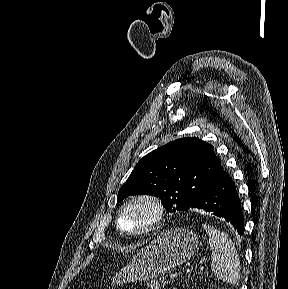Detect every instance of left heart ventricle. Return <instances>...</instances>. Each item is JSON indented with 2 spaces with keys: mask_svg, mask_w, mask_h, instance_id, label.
Listing matches in <instances>:
<instances>
[{
  "mask_svg": "<svg viewBox=\"0 0 288 289\" xmlns=\"http://www.w3.org/2000/svg\"><path fill=\"white\" fill-rule=\"evenodd\" d=\"M151 210L144 204H135L127 208L121 216L123 230L132 232L144 227L151 219Z\"/></svg>",
  "mask_w": 288,
  "mask_h": 289,
  "instance_id": "b2bd125f",
  "label": "left heart ventricle"
}]
</instances>
